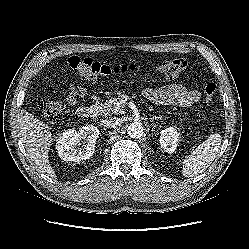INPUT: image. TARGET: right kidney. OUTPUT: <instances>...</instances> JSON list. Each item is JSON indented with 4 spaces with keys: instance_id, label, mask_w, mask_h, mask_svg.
I'll return each instance as SVG.
<instances>
[{
    "instance_id": "obj_1",
    "label": "right kidney",
    "mask_w": 249,
    "mask_h": 249,
    "mask_svg": "<svg viewBox=\"0 0 249 249\" xmlns=\"http://www.w3.org/2000/svg\"><path fill=\"white\" fill-rule=\"evenodd\" d=\"M99 136V130L93 125H86L76 130H68L64 132L56 143V150L59 157L67 162H79L89 159L94 151L96 140ZM84 140L82 148H76L81 145Z\"/></svg>"
}]
</instances>
